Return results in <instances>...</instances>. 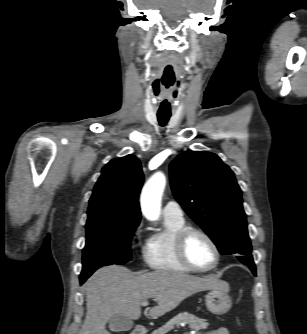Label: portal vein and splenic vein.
<instances>
[{"label":"portal vein and splenic vein","instance_id":"18ae733b","mask_svg":"<svg viewBox=\"0 0 307 334\" xmlns=\"http://www.w3.org/2000/svg\"><path fill=\"white\" fill-rule=\"evenodd\" d=\"M142 306H147L148 305V301H144L141 303Z\"/></svg>","mask_w":307,"mask_h":334}]
</instances>
